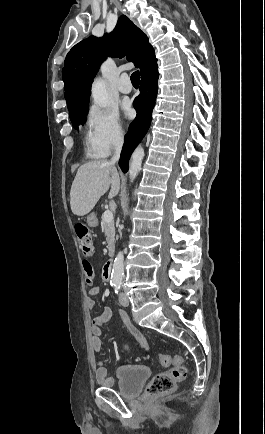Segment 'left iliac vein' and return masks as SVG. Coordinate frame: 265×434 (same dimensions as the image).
<instances>
[{
    "mask_svg": "<svg viewBox=\"0 0 265 434\" xmlns=\"http://www.w3.org/2000/svg\"><path fill=\"white\" fill-rule=\"evenodd\" d=\"M119 302L122 306H128L129 305V300H128L125 293L119 294Z\"/></svg>",
    "mask_w": 265,
    "mask_h": 434,
    "instance_id": "1",
    "label": "left iliac vein"
}]
</instances>
